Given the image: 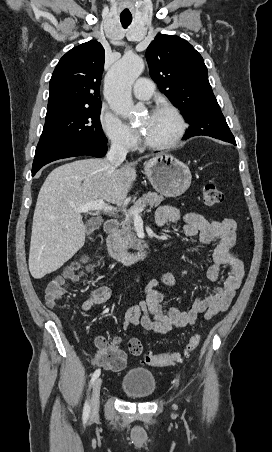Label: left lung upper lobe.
<instances>
[{"mask_svg": "<svg viewBox=\"0 0 272 452\" xmlns=\"http://www.w3.org/2000/svg\"><path fill=\"white\" fill-rule=\"evenodd\" d=\"M150 75L167 98L182 110L188 132L233 137L208 81L207 67L186 40L158 34L146 50Z\"/></svg>", "mask_w": 272, "mask_h": 452, "instance_id": "obj_1", "label": "left lung upper lobe"}]
</instances>
